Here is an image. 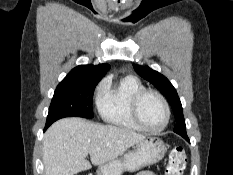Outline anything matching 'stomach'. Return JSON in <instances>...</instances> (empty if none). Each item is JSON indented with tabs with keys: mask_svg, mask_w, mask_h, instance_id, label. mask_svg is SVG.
Wrapping results in <instances>:
<instances>
[{
	"mask_svg": "<svg viewBox=\"0 0 233 175\" xmlns=\"http://www.w3.org/2000/svg\"><path fill=\"white\" fill-rule=\"evenodd\" d=\"M167 148L164 142L149 136L135 144L133 150L122 158L111 160L97 169V175H122L123 172H135L148 165L155 164L165 156Z\"/></svg>",
	"mask_w": 233,
	"mask_h": 175,
	"instance_id": "1",
	"label": "stomach"
}]
</instances>
